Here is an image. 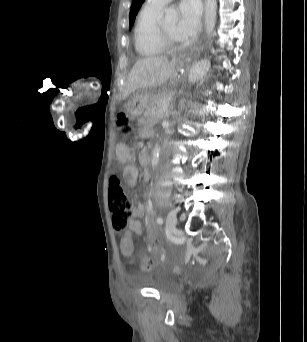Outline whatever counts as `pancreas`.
<instances>
[{
	"label": "pancreas",
	"instance_id": "pancreas-1",
	"mask_svg": "<svg viewBox=\"0 0 307 342\" xmlns=\"http://www.w3.org/2000/svg\"><path fill=\"white\" fill-rule=\"evenodd\" d=\"M172 97L168 94H154L153 97L149 99L151 104H164L165 101L170 100ZM162 106H153V108H149L146 110L145 116H152V118H158V120H162L163 116H165L164 112H161Z\"/></svg>",
	"mask_w": 307,
	"mask_h": 342
}]
</instances>
